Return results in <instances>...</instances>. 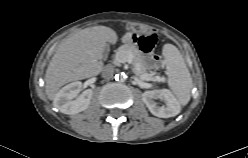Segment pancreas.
Masks as SVG:
<instances>
[{
	"label": "pancreas",
	"mask_w": 248,
	"mask_h": 158,
	"mask_svg": "<svg viewBox=\"0 0 248 158\" xmlns=\"http://www.w3.org/2000/svg\"><path fill=\"white\" fill-rule=\"evenodd\" d=\"M127 58L132 59L134 72L141 79L150 80L154 78L157 81H165V78L156 75V72L154 71H150L149 73L147 72V67L143 52L140 51L135 45L125 44L118 48L115 54V62L121 63L124 62V60H126Z\"/></svg>",
	"instance_id": "1"
}]
</instances>
